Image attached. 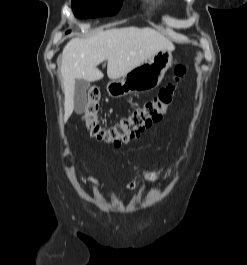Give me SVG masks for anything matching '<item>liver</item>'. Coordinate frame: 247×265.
<instances>
[{"label": "liver", "mask_w": 247, "mask_h": 265, "mask_svg": "<svg viewBox=\"0 0 247 265\" xmlns=\"http://www.w3.org/2000/svg\"><path fill=\"white\" fill-rule=\"evenodd\" d=\"M160 50H174V45L149 27L114 28L86 38L71 39L63 49L60 68L65 94L64 121L73 112L76 80L102 79L104 75L97 66L105 60L109 79L117 80Z\"/></svg>", "instance_id": "1"}]
</instances>
